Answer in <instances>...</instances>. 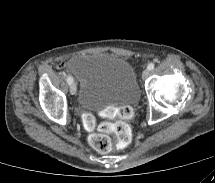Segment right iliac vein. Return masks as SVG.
Segmentation results:
<instances>
[{
  "label": "right iliac vein",
  "mask_w": 215,
  "mask_h": 183,
  "mask_svg": "<svg viewBox=\"0 0 215 183\" xmlns=\"http://www.w3.org/2000/svg\"><path fill=\"white\" fill-rule=\"evenodd\" d=\"M76 91H77L76 85H75V84H71V85H70V93H71L72 95H75V94H76Z\"/></svg>",
  "instance_id": "obj_1"
}]
</instances>
